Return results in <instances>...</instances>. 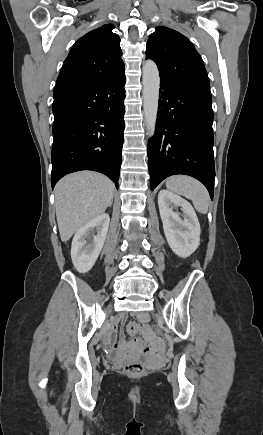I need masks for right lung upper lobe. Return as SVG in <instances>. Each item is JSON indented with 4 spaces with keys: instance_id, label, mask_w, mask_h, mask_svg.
Segmentation results:
<instances>
[{
    "instance_id": "right-lung-upper-lobe-1",
    "label": "right lung upper lobe",
    "mask_w": 263,
    "mask_h": 435,
    "mask_svg": "<svg viewBox=\"0 0 263 435\" xmlns=\"http://www.w3.org/2000/svg\"><path fill=\"white\" fill-rule=\"evenodd\" d=\"M103 25L81 37L63 63L53 94L82 88L124 71L120 38Z\"/></svg>"
}]
</instances>
